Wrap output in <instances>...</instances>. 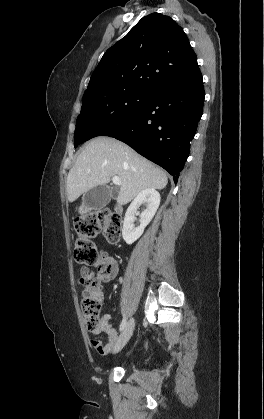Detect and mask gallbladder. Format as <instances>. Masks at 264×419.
I'll return each mask as SVG.
<instances>
[{
  "label": "gallbladder",
  "instance_id": "obj_1",
  "mask_svg": "<svg viewBox=\"0 0 264 419\" xmlns=\"http://www.w3.org/2000/svg\"><path fill=\"white\" fill-rule=\"evenodd\" d=\"M117 191L112 193L106 185H99L88 190L82 198V204L79 208L80 213L90 210H98L108 204L112 196H116Z\"/></svg>",
  "mask_w": 264,
  "mask_h": 419
}]
</instances>
